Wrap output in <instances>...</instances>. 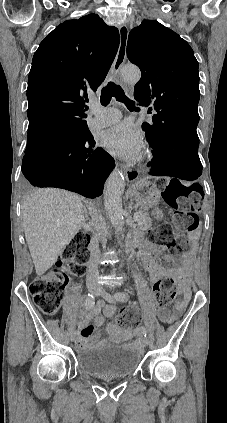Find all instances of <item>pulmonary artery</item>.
I'll return each mask as SVG.
<instances>
[{"label":"pulmonary artery","instance_id":"pulmonary-artery-1","mask_svg":"<svg viewBox=\"0 0 227 423\" xmlns=\"http://www.w3.org/2000/svg\"><path fill=\"white\" fill-rule=\"evenodd\" d=\"M91 112L94 118L90 122V126L94 129H102L115 125L121 121V112L116 108L93 107Z\"/></svg>","mask_w":227,"mask_h":423}]
</instances>
